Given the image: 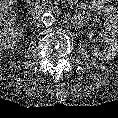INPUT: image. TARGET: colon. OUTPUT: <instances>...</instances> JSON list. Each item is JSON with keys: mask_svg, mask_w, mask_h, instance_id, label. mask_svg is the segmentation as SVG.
I'll use <instances>...</instances> for the list:
<instances>
[{"mask_svg": "<svg viewBox=\"0 0 118 118\" xmlns=\"http://www.w3.org/2000/svg\"><path fill=\"white\" fill-rule=\"evenodd\" d=\"M14 20V12L10 9L4 8L3 6H0V27L11 25Z\"/></svg>", "mask_w": 118, "mask_h": 118, "instance_id": "colon-1", "label": "colon"}]
</instances>
